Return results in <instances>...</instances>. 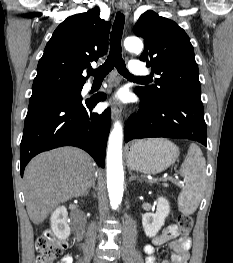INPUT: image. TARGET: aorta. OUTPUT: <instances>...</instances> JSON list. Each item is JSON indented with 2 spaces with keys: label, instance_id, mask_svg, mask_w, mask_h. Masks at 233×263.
<instances>
[{
  "label": "aorta",
  "instance_id": "aorta-1",
  "mask_svg": "<svg viewBox=\"0 0 233 263\" xmlns=\"http://www.w3.org/2000/svg\"><path fill=\"white\" fill-rule=\"evenodd\" d=\"M124 46L126 50L133 53H140L143 50V43L137 37H127ZM122 143V125L117 121L109 135L107 148V188L113 209H116L121 203L124 191Z\"/></svg>",
  "mask_w": 233,
  "mask_h": 263
}]
</instances>
